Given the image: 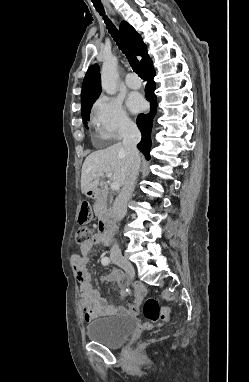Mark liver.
Masks as SVG:
<instances>
[{
    "instance_id": "liver-1",
    "label": "liver",
    "mask_w": 249,
    "mask_h": 382,
    "mask_svg": "<svg viewBox=\"0 0 249 382\" xmlns=\"http://www.w3.org/2000/svg\"><path fill=\"white\" fill-rule=\"evenodd\" d=\"M129 167V159L123 143L118 142L86 157L81 172V191H96L99 180L109 174L113 182L123 185Z\"/></svg>"
}]
</instances>
